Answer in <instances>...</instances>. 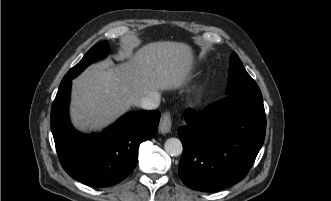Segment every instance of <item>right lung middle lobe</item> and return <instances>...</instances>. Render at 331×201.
<instances>
[{
	"label": "right lung middle lobe",
	"instance_id": "right-lung-middle-lobe-1",
	"mask_svg": "<svg viewBox=\"0 0 331 201\" xmlns=\"http://www.w3.org/2000/svg\"><path fill=\"white\" fill-rule=\"evenodd\" d=\"M109 52V46L107 41H103L92 47L86 55L82 58V60L71 68L68 73L63 78L61 84L66 83L67 81L72 80L77 75H79L88 65L97 59H102L106 57Z\"/></svg>",
	"mask_w": 331,
	"mask_h": 201
}]
</instances>
